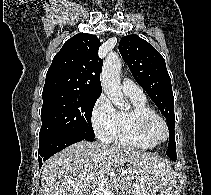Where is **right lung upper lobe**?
Masks as SVG:
<instances>
[{
  "label": "right lung upper lobe",
  "mask_w": 211,
  "mask_h": 195,
  "mask_svg": "<svg viewBox=\"0 0 211 195\" xmlns=\"http://www.w3.org/2000/svg\"><path fill=\"white\" fill-rule=\"evenodd\" d=\"M100 41L79 33L67 40L47 71L43 93L70 92L99 97L103 60L98 56Z\"/></svg>",
  "instance_id": "right-lung-upper-lobe-1"
}]
</instances>
